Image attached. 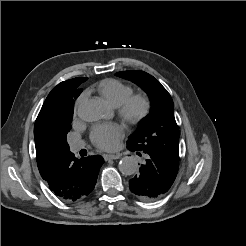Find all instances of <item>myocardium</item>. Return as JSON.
<instances>
[{
    "instance_id": "f54148a6",
    "label": "myocardium",
    "mask_w": 246,
    "mask_h": 246,
    "mask_svg": "<svg viewBox=\"0 0 246 246\" xmlns=\"http://www.w3.org/2000/svg\"><path fill=\"white\" fill-rule=\"evenodd\" d=\"M152 110V101L145 93L131 94L117 106L119 117L130 125L137 126L144 122Z\"/></svg>"
}]
</instances>
